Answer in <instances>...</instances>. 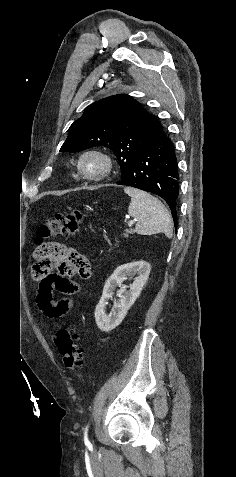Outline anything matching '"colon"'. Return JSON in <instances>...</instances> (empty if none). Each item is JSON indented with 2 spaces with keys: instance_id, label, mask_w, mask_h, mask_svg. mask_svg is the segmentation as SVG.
Returning a JSON list of instances; mask_svg holds the SVG:
<instances>
[{
  "instance_id": "5ec220e1",
  "label": "colon",
  "mask_w": 236,
  "mask_h": 477,
  "mask_svg": "<svg viewBox=\"0 0 236 477\" xmlns=\"http://www.w3.org/2000/svg\"><path fill=\"white\" fill-rule=\"evenodd\" d=\"M81 220L82 212L75 211L70 214L57 215L39 226L36 233L35 268L39 267L43 259L58 253L57 249L51 247L49 243H45L44 240L52 237L68 238L75 235L80 229ZM78 259L84 264L81 272L90 274V265L84 262L83 257L80 256ZM36 273L37 275L44 274L41 271ZM77 338V333L68 328H62L56 334V345L64 365L78 375L81 373L83 365V352L76 344Z\"/></svg>"
}]
</instances>
